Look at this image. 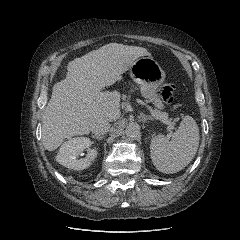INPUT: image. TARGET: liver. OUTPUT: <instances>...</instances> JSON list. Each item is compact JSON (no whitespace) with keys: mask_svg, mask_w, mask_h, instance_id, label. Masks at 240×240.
I'll return each instance as SVG.
<instances>
[{"mask_svg":"<svg viewBox=\"0 0 240 240\" xmlns=\"http://www.w3.org/2000/svg\"><path fill=\"white\" fill-rule=\"evenodd\" d=\"M150 53L142 47L110 43L68 63L64 80L53 86L42 117L45 149H57L64 139L90 133L99 121L120 117V93L102 89L122 79L133 62Z\"/></svg>","mask_w":240,"mask_h":240,"instance_id":"6515ba94","label":"liver"}]
</instances>
